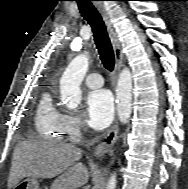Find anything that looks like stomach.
Listing matches in <instances>:
<instances>
[{
	"instance_id": "stomach-1",
	"label": "stomach",
	"mask_w": 188,
	"mask_h": 189,
	"mask_svg": "<svg viewBox=\"0 0 188 189\" xmlns=\"http://www.w3.org/2000/svg\"><path fill=\"white\" fill-rule=\"evenodd\" d=\"M13 189H40V185L36 178L29 177L20 181Z\"/></svg>"
}]
</instances>
